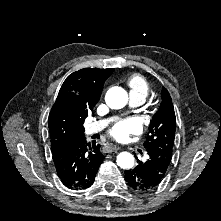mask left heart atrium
<instances>
[{
  "label": "left heart atrium",
  "instance_id": "1",
  "mask_svg": "<svg viewBox=\"0 0 221 221\" xmlns=\"http://www.w3.org/2000/svg\"><path fill=\"white\" fill-rule=\"evenodd\" d=\"M141 132V124L135 118H127L113 124L109 129L111 136L118 142H126L131 135Z\"/></svg>",
  "mask_w": 221,
  "mask_h": 221
}]
</instances>
